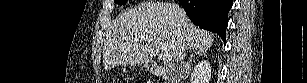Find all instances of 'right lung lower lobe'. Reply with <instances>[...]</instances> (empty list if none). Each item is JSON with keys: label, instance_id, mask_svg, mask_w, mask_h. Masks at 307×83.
<instances>
[{"label": "right lung lower lobe", "instance_id": "1", "mask_svg": "<svg viewBox=\"0 0 307 83\" xmlns=\"http://www.w3.org/2000/svg\"><path fill=\"white\" fill-rule=\"evenodd\" d=\"M180 3L194 24L219 34L225 41L232 0H180Z\"/></svg>", "mask_w": 307, "mask_h": 83}]
</instances>
